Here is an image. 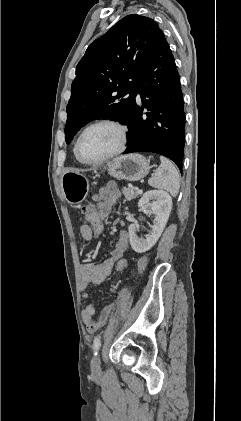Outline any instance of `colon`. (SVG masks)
Returning a JSON list of instances; mask_svg holds the SVG:
<instances>
[{"label": "colon", "mask_w": 241, "mask_h": 421, "mask_svg": "<svg viewBox=\"0 0 241 421\" xmlns=\"http://www.w3.org/2000/svg\"><path fill=\"white\" fill-rule=\"evenodd\" d=\"M82 212L84 214L85 220L87 221V225L91 229L90 240H98L102 236L104 230L103 219L98 216L96 207L93 204L84 206ZM146 263L147 261L145 258L140 259L138 263L139 270H143L146 266ZM128 268L129 263L124 258L117 260L114 264V270L118 273H125Z\"/></svg>", "instance_id": "obj_1"}]
</instances>
